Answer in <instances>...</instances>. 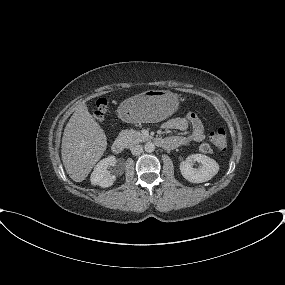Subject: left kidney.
<instances>
[{
    "label": "left kidney",
    "instance_id": "left-kidney-1",
    "mask_svg": "<svg viewBox=\"0 0 285 285\" xmlns=\"http://www.w3.org/2000/svg\"><path fill=\"white\" fill-rule=\"evenodd\" d=\"M196 161L201 164L200 168L192 167V162ZM182 176L192 183H202L209 181L219 171L217 162L203 154H192L185 161L180 163Z\"/></svg>",
    "mask_w": 285,
    "mask_h": 285
}]
</instances>
